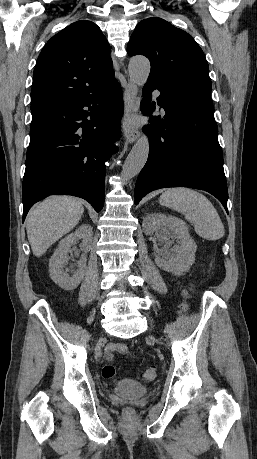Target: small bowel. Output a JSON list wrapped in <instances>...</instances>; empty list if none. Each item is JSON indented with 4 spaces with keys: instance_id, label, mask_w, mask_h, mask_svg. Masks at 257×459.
Instances as JSON below:
<instances>
[{
    "instance_id": "1",
    "label": "small bowel",
    "mask_w": 257,
    "mask_h": 459,
    "mask_svg": "<svg viewBox=\"0 0 257 459\" xmlns=\"http://www.w3.org/2000/svg\"><path fill=\"white\" fill-rule=\"evenodd\" d=\"M113 351H117L119 353H127L128 349L123 344H112L108 347V354L110 355Z\"/></svg>"
}]
</instances>
